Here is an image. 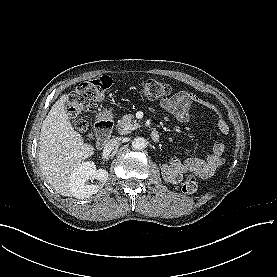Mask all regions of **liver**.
I'll list each match as a JSON object with an SVG mask.
<instances>
[{"label":"liver","instance_id":"1","mask_svg":"<svg viewBox=\"0 0 277 277\" xmlns=\"http://www.w3.org/2000/svg\"><path fill=\"white\" fill-rule=\"evenodd\" d=\"M62 95L52 106L43 121L38 150L40 168L51 187L62 196L82 198L72 182L76 167L94 154V147L84 143L68 120Z\"/></svg>","mask_w":277,"mask_h":277}]
</instances>
